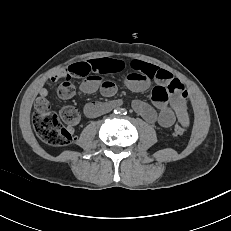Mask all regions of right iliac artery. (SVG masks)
<instances>
[{
  "label": "right iliac artery",
  "mask_w": 231,
  "mask_h": 231,
  "mask_svg": "<svg viewBox=\"0 0 231 231\" xmlns=\"http://www.w3.org/2000/svg\"><path fill=\"white\" fill-rule=\"evenodd\" d=\"M114 112H115L116 114H118V113H120V109H119V108H116V109L114 110Z\"/></svg>",
  "instance_id": "obj_1"
}]
</instances>
